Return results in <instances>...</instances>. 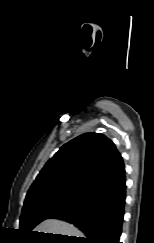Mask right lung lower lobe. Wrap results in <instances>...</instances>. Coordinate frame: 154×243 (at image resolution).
I'll list each match as a JSON object with an SVG mask.
<instances>
[{
  "label": "right lung lower lobe",
  "instance_id": "1",
  "mask_svg": "<svg viewBox=\"0 0 154 243\" xmlns=\"http://www.w3.org/2000/svg\"><path fill=\"white\" fill-rule=\"evenodd\" d=\"M125 198L124 174L96 192L84 204L52 218L67 221L84 232L86 237L78 238L77 243H120Z\"/></svg>",
  "mask_w": 154,
  "mask_h": 243
}]
</instances>
